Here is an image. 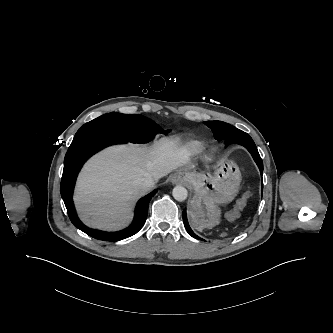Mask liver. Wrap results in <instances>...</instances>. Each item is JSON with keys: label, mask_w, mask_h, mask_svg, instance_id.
Wrapping results in <instances>:
<instances>
[{"label": "liver", "mask_w": 333, "mask_h": 333, "mask_svg": "<svg viewBox=\"0 0 333 333\" xmlns=\"http://www.w3.org/2000/svg\"><path fill=\"white\" fill-rule=\"evenodd\" d=\"M192 168L191 151L176 138L164 137L151 146L110 147L85 165L76 186V210L89 227L118 230L129 222L135 200L145 193L137 186L140 179L156 182L174 170Z\"/></svg>", "instance_id": "obj_1"}]
</instances>
